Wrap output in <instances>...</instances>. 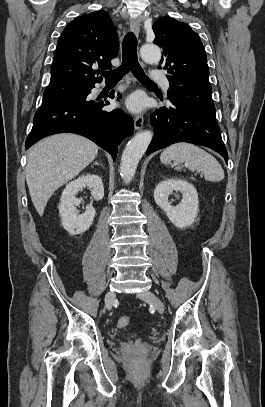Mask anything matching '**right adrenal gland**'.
I'll return each mask as SVG.
<instances>
[{"instance_id": "1", "label": "right adrenal gland", "mask_w": 265, "mask_h": 407, "mask_svg": "<svg viewBox=\"0 0 265 407\" xmlns=\"http://www.w3.org/2000/svg\"><path fill=\"white\" fill-rule=\"evenodd\" d=\"M93 165H99V163L97 161H95Z\"/></svg>"}]
</instances>
